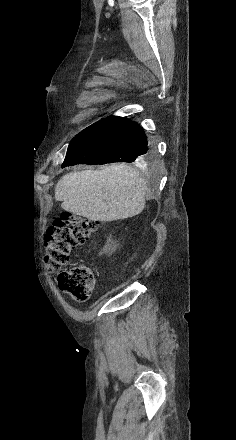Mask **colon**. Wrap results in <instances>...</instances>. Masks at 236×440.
Instances as JSON below:
<instances>
[{"instance_id":"1","label":"colon","mask_w":236,"mask_h":440,"mask_svg":"<svg viewBox=\"0 0 236 440\" xmlns=\"http://www.w3.org/2000/svg\"><path fill=\"white\" fill-rule=\"evenodd\" d=\"M96 229L95 221L71 213H63L55 219L46 238L48 251L45 263L48 270L55 272L66 266L74 248L87 242ZM57 282L62 292L78 302L87 301L95 285L91 268L83 264L61 270Z\"/></svg>"}]
</instances>
